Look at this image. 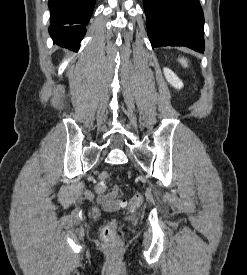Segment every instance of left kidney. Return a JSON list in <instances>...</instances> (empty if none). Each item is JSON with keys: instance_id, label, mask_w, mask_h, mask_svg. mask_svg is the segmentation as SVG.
<instances>
[{"instance_id": "obj_1", "label": "left kidney", "mask_w": 247, "mask_h": 275, "mask_svg": "<svg viewBox=\"0 0 247 275\" xmlns=\"http://www.w3.org/2000/svg\"><path fill=\"white\" fill-rule=\"evenodd\" d=\"M165 78L170 85H172L176 89H181L183 87L182 81L176 76V74L170 70L169 68L163 69Z\"/></svg>"}]
</instances>
